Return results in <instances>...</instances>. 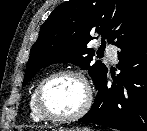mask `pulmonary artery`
<instances>
[{"instance_id":"pulmonary-artery-1","label":"pulmonary artery","mask_w":147,"mask_h":131,"mask_svg":"<svg viewBox=\"0 0 147 131\" xmlns=\"http://www.w3.org/2000/svg\"><path fill=\"white\" fill-rule=\"evenodd\" d=\"M106 54L111 59L112 62L116 63L118 61V53L117 48L114 46H107L106 47Z\"/></svg>"}]
</instances>
